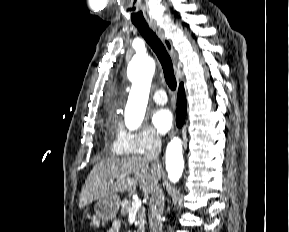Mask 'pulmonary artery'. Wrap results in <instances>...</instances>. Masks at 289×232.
<instances>
[{
    "label": "pulmonary artery",
    "instance_id": "obj_1",
    "mask_svg": "<svg viewBox=\"0 0 289 232\" xmlns=\"http://www.w3.org/2000/svg\"><path fill=\"white\" fill-rule=\"evenodd\" d=\"M152 99L155 103L163 105L167 102V96L164 90H157L153 93Z\"/></svg>",
    "mask_w": 289,
    "mask_h": 232
}]
</instances>
